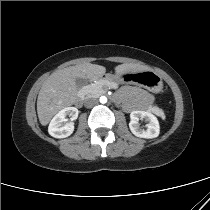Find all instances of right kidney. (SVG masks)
I'll return each instance as SVG.
<instances>
[{"mask_svg": "<svg viewBox=\"0 0 210 210\" xmlns=\"http://www.w3.org/2000/svg\"><path fill=\"white\" fill-rule=\"evenodd\" d=\"M78 109L75 107H65L60 110L51 120L48 126V132L55 138H65L70 136L74 131V124L72 122L66 123V117H71L75 120L78 117Z\"/></svg>", "mask_w": 210, "mask_h": 210, "instance_id": "1", "label": "right kidney"}]
</instances>
